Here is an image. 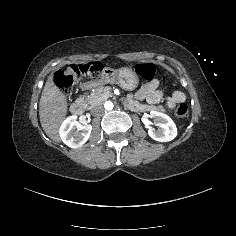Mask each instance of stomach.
<instances>
[{"mask_svg": "<svg viewBox=\"0 0 236 236\" xmlns=\"http://www.w3.org/2000/svg\"><path fill=\"white\" fill-rule=\"evenodd\" d=\"M103 82L116 83L122 89L132 91L138 87L139 77L136 72L129 67H123L118 70L108 69V75Z\"/></svg>", "mask_w": 236, "mask_h": 236, "instance_id": "obj_1", "label": "stomach"}]
</instances>
